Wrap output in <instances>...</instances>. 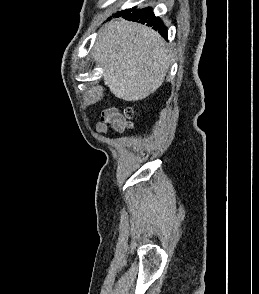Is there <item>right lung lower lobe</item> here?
<instances>
[{"label": "right lung lower lobe", "instance_id": "98d812e1", "mask_svg": "<svg viewBox=\"0 0 259 294\" xmlns=\"http://www.w3.org/2000/svg\"><path fill=\"white\" fill-rule=\"evenodd\" d=\"M120 15H123V17L128 20L136 21L142 24L146 23L147 25L152 26L153 29L158 30L164 38H167L166 27H164L161 19L153 14L151 8L138 9L133 12L132 9H129Z\"/></svg>", "mask_w": 259, "mask_h": 294}]
</instances>
